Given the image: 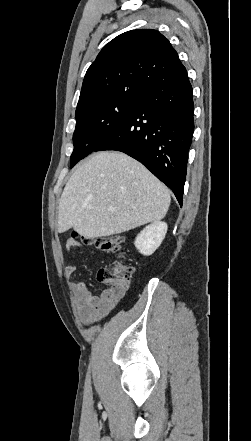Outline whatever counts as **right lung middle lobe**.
I'll return each instance as SVG.
<instances>
[{"instance_id":"1","label":"right lung middle lobe","mask_w":251,"mask_h":441,"mask_svg":"<svg viewBox=\"0 0 251 441\" xmlns=\"http://www.w3.org/2000/svg\"><path fill=\"white\" fill-rule=\"evenodd\" d=\"M141 97L140 94H130L105 98L77 111L70 168L103 143L136 108Z\"/></svg>"}]
</instances>
